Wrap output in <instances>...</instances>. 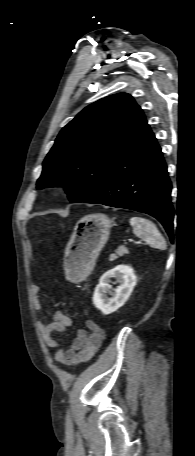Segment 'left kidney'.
<instances>
[{
	"label": "left kidney",
	"instance_id": "left-kidney-1",
	"mask_svg": "<svg viewBox=\"0 0 195 456\" xmlns=\"http://www.w3.org/2000/svg\"><path fill=\"white\" fill-rule=\"evenodd\" d=\"M111 278L119 283L116 289L110 285ZM137 277L134 270L127 265H118L102 275L93 294V304L105 315L111 314L122 307L130 297ZM107 294L112 297L109 298Z\"/></svg>",
	"mask_w": 195,
	"mask_h": 456
}]
</instances>
